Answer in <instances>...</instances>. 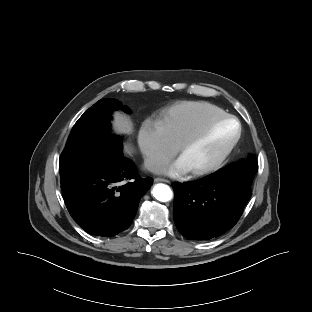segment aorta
Segmentation results:
<instances>
[{
    "label": "aorta",
    "instance_id": "762f6f07",
    "mask_svg": "<svg viewBox=\"0 0 312 312\" xmlns=\"http://www.w3.org/2000/svg\"><path fill=\"white\" fill-rule=\"evenodd\" d=\"M152 195L161 202H168L173 197L171 188L166 184H156L152 190Z\"/></svg>",
    "mask_w": 312,
    "mask_h": 312
}]
</instances>
